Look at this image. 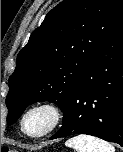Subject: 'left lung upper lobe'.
Wrapping results in <instances>:
<instances>
[{
    "label": "left lung upper lobe",
    "instance_id": "5c2ea615",
    "mask_svg": "<svg viewBox=\"0 0 123 152\" xmlns=\"http://www.w3.org/2000/svg\"><path fill=\"white\" fill-rule=\"evenodd\" d=\"M122 6L121 0H64L46 15L9 78L8 125L35 102L63 110Z\"/></svg>",
    "mask_w": 123,
    "mask_h": 152
}]
</instances>
